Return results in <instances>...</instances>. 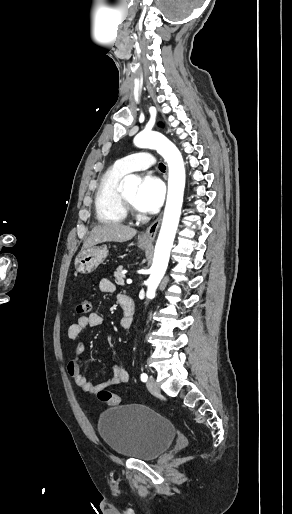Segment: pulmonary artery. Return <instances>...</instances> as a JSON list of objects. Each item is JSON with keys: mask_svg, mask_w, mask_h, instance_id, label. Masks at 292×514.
I'll return each instance as SVG.
<instances>
[{"mask_svg": "<svg viewBox=\"0 0 292 514\" xmlns=\"http://www.w3.org/2000/svg\"><path fill=\"white\" fill-rule=\"evenodd\" d=\"M129 156L134 161H129L127 157H122L120 161L114 163L113 168L116 172L125 175L129 172H147L149 169L153 170L155 168L153 163H148V160L152 157L151 152L148 150H134L130 152Z\"/></svg>", "mask_w": 292, "mask_h": 514, "instance_id": "1", "label": "pulmonary artery"}]
</instances>
